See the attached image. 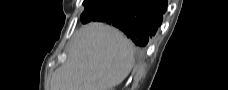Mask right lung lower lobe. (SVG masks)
I'll use <instances>...</instances> for the list:
<instances>
[{
    "instance_id": "98d812e1",
    "label": "right lung lower lobe",
    "mask_w": 228,
    "mask_h": 90,
    "mask_svg": "<svg viewBox=\"0 0 228 90\" xmlns=\"http://www.w3.org/2000/svg\"><path fill=\"white\" fill-rule=\"evenodd\" d=\"M166 10V0H99L85 7L81 22L113 25L144 50L161 25Z\"/></svg>"
}]
</instances>
